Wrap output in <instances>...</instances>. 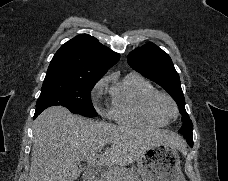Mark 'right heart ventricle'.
I'll list each match as a JSON object with an SVG mask.
<instances>
[{
  "mask_svg": "<svg viewBox=\"0 0 228 181\" xmlns=\"http://www.w3.org/2000/svg\"><path fill=\"white\" fill-rule=\"evenodd\" d=\"M107 85H110L112 99L110 115L117 122L149 127L165 123V118L154 117L146 109V101L157 91L142 76L113 71L102 81V86Z\"/></svg>",
  "mask_w": 228,
  "mask_h": 181,
  "instance_id": "obj_1",
  "label": "right heart ventricle"
}]
</instances>
